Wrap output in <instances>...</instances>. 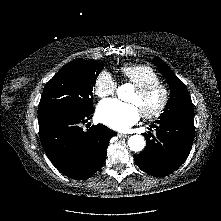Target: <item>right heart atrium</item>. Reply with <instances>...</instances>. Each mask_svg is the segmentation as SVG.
I'll return each instance as SVG.
<instances>
[{"label": "right heart atrium", "mask_w": 221, "mask_h": 221, "mask_svg": "<svg viewBox=\"0 0 221 221\" xmlns=\"http://www.w3.org/2000/svg\"><path fill=\"white\" fill-rule=\"evenodd\" d=\"M116 80L107 71H101L94 81V93L100 97L104 98L112 95L116 90Z\"/></svg>", "instance_id": "1"}]
</instances>
